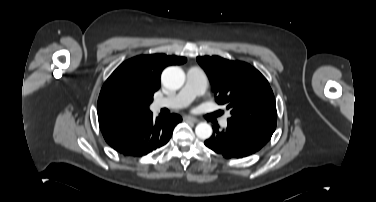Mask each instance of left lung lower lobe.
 <instances>
[{"mask_svg": "<svg viewBox=\"0 0 376 202\" xmlns=\"http://www.w3.org/2000/svg\"><path fill=\"white\" fill-rule=\"evenodd\" d=\"M215 133L205 141V145L225 158H242L259 151L271 139L274 131L252 124L228 119L226 130Z\"/></svg>", "mask_w": 376, "mask_h": 202, "instance_id": "obj_1", "label": "left lung lower lobe"}]
</instances>
